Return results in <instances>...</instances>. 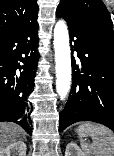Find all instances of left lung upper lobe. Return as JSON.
Returning <instances> with one entry per match:
<instances>
[{
  "mask_svg": "<svg viewBox=\"0 0 114 156\" xmlns=\"http://www.w3.org/2000/svg\"><path fill=\"white\" fill-rule=\"evenodd\" d=\"M57 9L75 24L114 43L113 23L102 0H61Z\"/></svg>",
  "mask_w": 114,
  "mask_h": 156,
  "instance_id": "left-lung-upper-lobe-1",
  "label": "left lung upper lobe"
}]
</instances>
